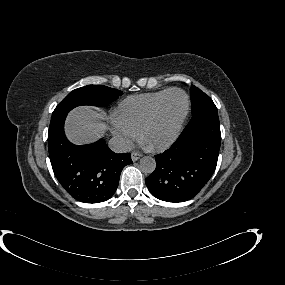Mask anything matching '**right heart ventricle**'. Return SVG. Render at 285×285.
Returning a JSON list of instances; mask_svg holds the SVG:
<instances>
[{
  "label": "right heart ventricle",
  "instance_id": "e07e8e85",
  "mask_svg": "<svg viewBox=\"0 0 285 285\" xmlns=\"http://www.w3.org/2000/svg\"><path fill=\"white\" fill-rule=\"evenodd\" d=\"M169 89L133 95L122 100L117 108V120L138 135L155 106Z\"/></svg>",
  "mask_w": 285,
  "mask_h": 285
}]
</instances>
